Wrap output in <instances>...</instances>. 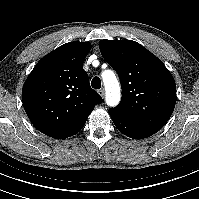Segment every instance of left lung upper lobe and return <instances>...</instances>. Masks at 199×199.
Segmentation results:
<instances>
[{
    "label": "left lung upper lobe",
    "mask_w": 199,
    "mask_h": 199,
    "mask_svg": "<svg viewBox=\"0 0 199 199\" xmlns=\"http://www.w3.org/2000/svg\"><path fill=\"white\" fill-rule=\"evenodd\" d=\"M103 58L116 70L122 87L118 106L109 109L127 121L158 132L176 104V84L165 65L132 40H101Z\"/></svg>",
    "instance_id": "obj_1"
}]
</instances>
